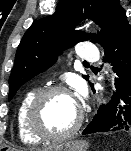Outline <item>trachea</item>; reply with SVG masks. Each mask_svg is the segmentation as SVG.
Listing matches in <instances>:
<instances>
[{
  "label": "trachea",
  "instance_id": "3493384b",
  "mask_svg": "<svg viewBox=\"0 0 131 151\" xmlns=\"http://www.w3.org/2000/svg\"><path fill=\"white\" fill-rule=\"evenodd\" d=\"M83 64H84V65H88V63H87V62H83Z\"/></svg>",
  "mask_w": 131,
  "mask_h": 151
}]
</instances>
